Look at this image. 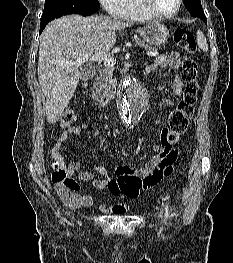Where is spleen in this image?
Masks as SVG:
<instances>
[{"label": "spleen", "mask_w": 233, "mask_h": 263, "mask_svg": "<svg viewBox=\"0 0 233 263\" xmlns=\"http://www.w3.org/2000/svg\"><path fill=\"white\" fill-rule=\"evenodd\" d=\"M197 43L203 51L205 52L208 51V44H207L206 37L200 30L197 31Z\"/></svg>", "instance_id": "obj_1"}]
</instances>
